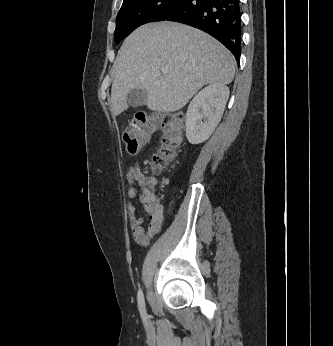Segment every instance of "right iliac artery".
<instances>
[{
    "mask_svg": "<svg viewBox=\"0 0 333 346\" xmlns=\"http://www.w3.org/2000/svg\"><path fill=\"white\" fill-rule=\"evenodd\" d=\"M137 300H138V307H139L141 317H142L144 323L146 324L147 314H146V308H145L144 295H143V292L141 289L138 291Z\"/></svg>",
    "mask_w": 333,
    "mask_h": 346,
    "instance_id": "1",
    "label": "right iliac artery"
}]
</instances>
